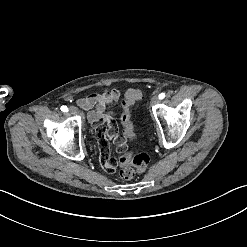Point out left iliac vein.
I'll return each instance as SVG.
<instances>
[{"label": "left iliac vein", "mask_w": 247, "mask_h": 247, "mask_svg": "<svg viewBox=\"0 0 247 247\" xmlns=\"http://www.w3.org/2000/svg\"><path fill=\"white\" fill-rule=\"evenodd\" d=\"M158 96L157 95H152L151 98H150V105L153 106L155 105L156 103H158Z\"/></svg>", "instance_id": "1"}]
</instances>
